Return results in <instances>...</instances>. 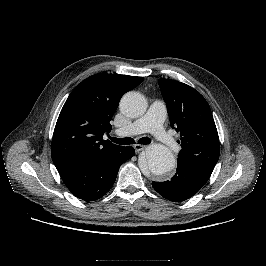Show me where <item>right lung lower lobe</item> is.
<instances>
[{
    "instance_id": "98d812e1",
    "label": "right lung lower lobe",
    "mask_w": 266,
    "mask_h": 266,
    "mask_svg": "<svg viewBox=\"0 0 266 266\" xmlns=\"http://www.w3.org/2000/svg\"><path fill=\"white\" fill-rule=\"evenodd\" d=\"M135 155L131 146L117 149L57 168L63 182L84 201L101 198L113 186L120 166Z\"/></svg>"
}]
</instances>
